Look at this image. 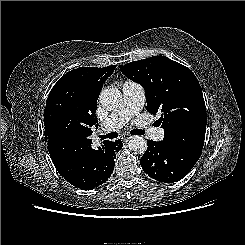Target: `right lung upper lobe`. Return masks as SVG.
I'll return each instance as SVG.
<instances>
[{"label": "right lung upper lobe", "instance_id": "obj_1", "mask_svg": "<svg viewBox=\"0 0 245 245\" xmlns=\"http://www.w3.org/2000/svg\"><path fill=\"white\" fill-rule=\"evenodd\" d=\"M115 68V65L81 67L57 81L44 110V133L49 150L57 140H64L70 152H79L92 143L91 127L98 125L97 100L103 83Z\"/></svg>", "mask_w": 245, "mask_h": 245}]
</instances>
